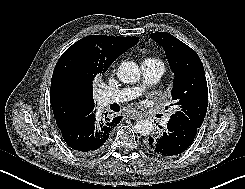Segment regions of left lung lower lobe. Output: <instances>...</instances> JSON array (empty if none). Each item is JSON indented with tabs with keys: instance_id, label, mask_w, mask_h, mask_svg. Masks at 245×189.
<instances>
[{
	"instance_id": "left-lung-lower-lobe-1",
	"label": "left lung lower lobe",
	"mask_w": 245,
	"mask_h": 189,
	"mask_svg": "<svg viewBox=\"0 0 245 189\" xmlns=\"http://www.w3.org/2000/svg\"><path fill=\"white\" fill-rule=\"evenodd\" d=\"M197 129L193 124H181V122L170 119L165 130L149 137V147L155 153L163 156L178 155L192 144Z\"/></svg>"
}]
</instances>
